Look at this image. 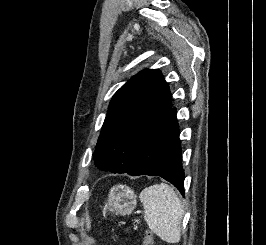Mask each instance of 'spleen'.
<instances>
[{
    "instance_id": "obj_1",
    "label": "spleen",
    "mask_w": 266,
    "mask_h": 245,
    "mask_svg": "<svg viewBox=\"0 0 266 245\" xmlns=\"http://www.w3.org/2000/svg\"><path fill=\"white\" fill-rule=\"evenodd\" d=\"M139 199L145 209L144 219L149 229L166 243H179L184 211L175 191L161 183L143 189Z\"/></svg>"
}]
</instances>
